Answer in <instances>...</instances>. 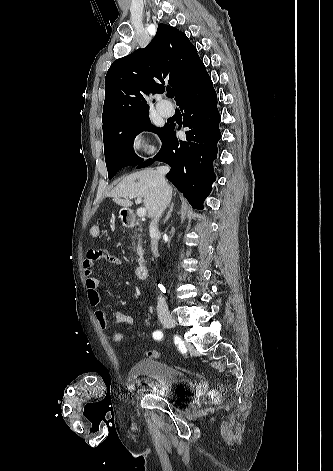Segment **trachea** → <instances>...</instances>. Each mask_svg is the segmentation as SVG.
Here are the masks:
<instances>
[{"instance_id":"obj_1","label":"trachea","mask_w":333,"mask_h":471,"mask_svg":"<svg viewBox=\"0 0 333 471\" xmlns=\"http://www.w3.org/2000/svg\"><path fill=\"white\" fill-rule=\"evenodd\" d=\"M174 95H175V92H174V90H170V91H168V97H170V98H173V97H174Z\"/></svg>"}]
</instances>
